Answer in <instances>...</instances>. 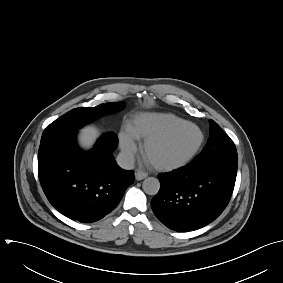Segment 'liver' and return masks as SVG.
I'll return each mask as SVG.
<instances>
[{
    "instance_id": "1",
    "label": "liver",
    "mask_w": 283,
    "mask_h": 283,
    "mask_svg": "<svg viewBox=\"0 0 283 283\" xmlns=\"http://www.w3.org/2000/svg\"><path fill=\"white\" fill-rule=\"evenodd\" d=\"M98 136V130L93 126L85 127L81 130L80 143L85 148H90L96 137Z\"/></svg>"
}]
</instances>
